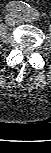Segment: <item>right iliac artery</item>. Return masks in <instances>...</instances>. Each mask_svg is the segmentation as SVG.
I'll list each match as a JSON object with an SVG mask.
<instances>
[{
  "mask_svg": "<svg viewBox=\"0 0 51 153\" xmlns=\"http://www.w3.org/2000/svg\"><path fill=\"white\" fill-rule=\"evenodd\" d=\"M28 4L22 1H12L6 5V11L8 12H26Z\"/></svg>",
  "mask_w": 51,
  "mask_h": 153,
  "instance_id": "right-iliac-artery-1",
  "label": "right iliac artery"
}]
</instances>
